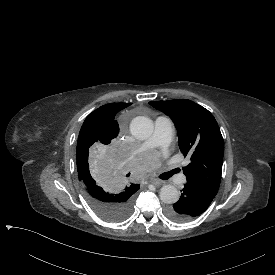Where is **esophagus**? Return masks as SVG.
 I'll use <instances>...</instances> for the list:
<instances>
[{
    "label": "esophagus",
    "instance_id": "obj_1",
    "mask_svg": "<svg viewBox=\"0 0 275 275\" xmlns=\"http://www.w3.org/2000/svg\"><path fill=\"white\" fill-rule=\"evenodd\" d=\"M162 181L161 180H158V179H152L150 180V184L154 185V186H160L162 185Z\"/></svg>",
    "mask_w": 275,
    "mask_h": 275
}]
</instances>
